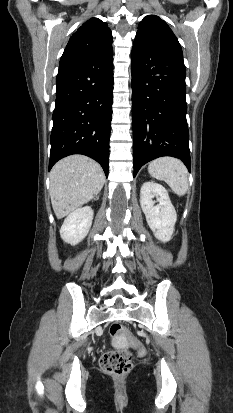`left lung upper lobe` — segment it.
<instances>
[{"label":"left lung upper lobe","mask_w":233,"mask_h":413,"mask_svg":"<svg viewBox=\"0 0 233 413\" xmlns=\"http://www.w3.org/2000/svg\"><path fill=\"white\" fill-rule=\"evenodd\" d=\"M138 45H156L183 56L181 46L167 23L155 15L144 17L134 40Z\"/></svg>","instance_id":"obj_1"}]
</instances>
